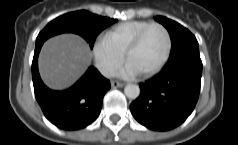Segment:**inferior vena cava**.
<instances>
[{
  "label": "inferior vena cava",
  "instance_id": "602c4592",
  "mask_svg": "<svg viewBox=\"0 0 238 145\" xmlns=\"http://www.w3.org/2000/svg\"><path fill=\"white\" fill-rule=\"evenodd\" d=\"M99 71L101 72V74L105 77H114L116 75L115 70L112 67H108V66H102L100 67Z\"/></svg>",
  "mask_w": 238,
  "mask_h": 145
}]
</instances>
